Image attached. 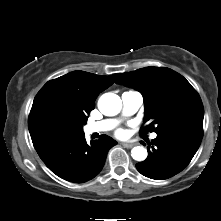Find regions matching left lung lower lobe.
I'll use <instances>...</instances> for the list:
<instances>
[{
	"label": "left lung lower lobe",
	"instance_id": "0a47b994",
	"mask_svg": "<svg viewBox=\"0 0 221 221\" xmlns=\"http://www.w3.org/2000/svg\"><path fill=\"white\" fill-rule=\"evenodd\" d=\"M202 136L203 128L188 126L157 133L151 147L149 143L147 159L136 164L137 170L155 180L176 175L189 164L200 146Z\"/></svg>",
	"mask_w": 221,
	"mask_h": 221
}]
</instances>
